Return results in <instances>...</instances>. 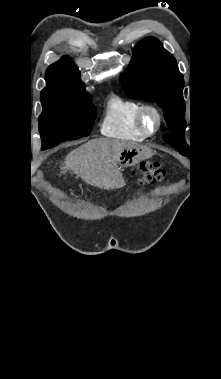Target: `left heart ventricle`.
<instances>
[{"mask_svg": "<svg viewBox=\"0 0 221 379\" xmlns=\"http://www.w3.org/2000/svg\"><path fill=\"white\" fill-rule=\"evenodd\" d=\"M147 125L150 129L154 127V119L151 115H149L147 118Z\"/></svg>", "mask_w": 221, "mask_h": 379, "instance_id": "obj_1", "label": "left heart ventricle"}]
</instances>
